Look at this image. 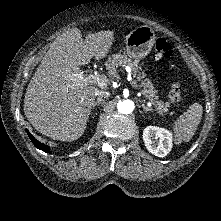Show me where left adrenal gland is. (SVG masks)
Instances as JSON below:
<instances>
[{
	"mask_svg": "<svg viewBox=\"0 0 221 221\" xmlns=\"http://www.w3.org/2000/svg\"><path fill=\"white\" fill-rule=\"evenodd\" d=\"M142 108L144 111H153V109L147 107L145 104H142Z\"/></svg>",
	"mask_w": 221,
	"mask_h": 221,
	"instance_id": "1",
	"label": "left adrenal gland"
}]
</instances>
